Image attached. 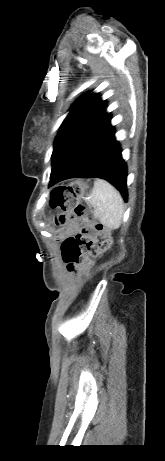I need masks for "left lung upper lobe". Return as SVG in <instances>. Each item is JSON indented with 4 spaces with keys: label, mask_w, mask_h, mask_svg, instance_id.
<instances>
[{
    "label": "left lung upper lobe",
    "mask_w": 165,
    "mask_h": 461,
    "mask_svg": "<svg viewBox=\"0 0 165 461\" xmlns=\"http://www.w3.org/2000/svg\"><path fill=\"white\" fill-rule=\"evenodd\" d=\"M106 106L98 94L90 93L73 104L54 142L51 175L81 137L105 114Z\"/></svg>",
    "instance_id": "1"
}]
</instances>
